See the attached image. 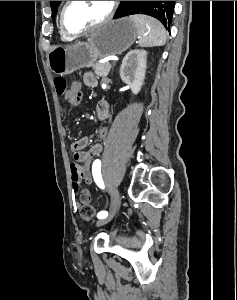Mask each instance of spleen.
<instances>
[{"mask_svg": "<svg viewBox=\"0 0 237 300\" xmlns=\"http://www.w3.org/2000/svg\"><path fill=\"white\" fill-rule=\"evenodd\" d=\"M136 27L139 47H162L166 43V31L156 19L147 15H131L129 17Z\"/></svg>", "mask_w": 237, "mask_h": 300, "instance_id": "3e777b00", "label": "spleen"}]
</instances>
